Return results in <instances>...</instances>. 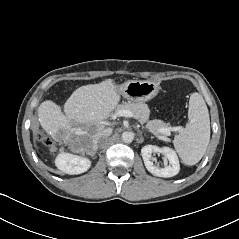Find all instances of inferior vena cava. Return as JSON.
<instances>
[{
    "mask_svg": "<svg viewBox=\"0 0 239 239\" xmlns=\"http://www.w3.org/2000/svg\"><path fill=\"white\" fill-rule=\"evenodd\" d=\"M111 134V131L106 129V130H103L99 135L98 137L96 138L95 140V145L98 146V145H101L103 143V140L108 138V136Z\"/></svg>",
    "mask_w": 239,
    "mask_h": 239,
    "instance_id": "obj_1",
    "label": "inferior vena cava"
}]
</instances>
